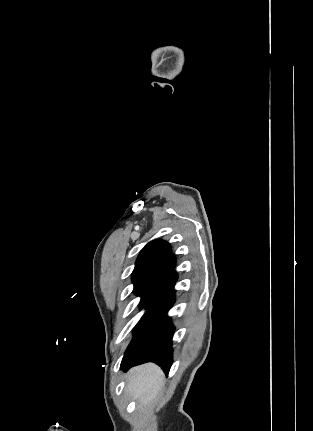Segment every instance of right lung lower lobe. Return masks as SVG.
<instances>
[{"mask_svg": "<svg viewBox=\"0 0 313 431\" xmlns=\"http://www.w3.org/2000/svg\"><path fill=\"white\" fill-rule=\"evenodd\" d=\"M177 274L163 284L150 298L144 307L146 312L134 331V338L128 346L121 368L128 370L132 366L146 362L158 364L168 374L172 364V336L174 327L167 317L173 306L174 284Z\"/></svg>", "mask_w": 313, "mask_h": 431, "instance_id": "right-lung-lower-lobe-1", "label": "right lung lower lobe"}]
</instances>
